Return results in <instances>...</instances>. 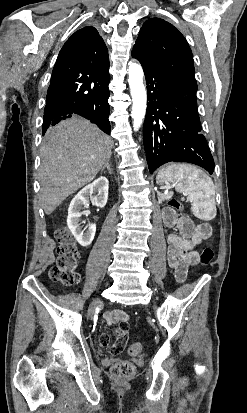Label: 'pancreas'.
Returning a JSON list of instances; mask_svg holds the SVG:
<instances>
[{
	"label": "pancreas",
	"instance_id": "1",
	"mask_svg": "<svg viewBox=\"0 0 247 413\" xmlns=\"http://www.w3.org/2000/svg\"><path fill=\"white\" fill-rule=\"evenodd\" d=\"M159 202H163V200H168L173 196V192H168V194H164V192H157Z\"/></svg>",
	"mask_w": 247,
	"mask_h": 413
}]
</instances>
